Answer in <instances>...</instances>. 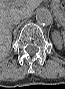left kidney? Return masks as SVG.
Wrapping results in <instances>:
<instances>
[{
  "instance_id": "1",
  "label": "left kidney",
  "mask_w": 65,
  "mask_h": 89,
  "mask_svg": "<svg viewBox=\"0 0 65 89\" xmlns=\"http://www.w3.org/2000/svg\"><path fill=\"white\" fill-rule=\"evenodd\" d=\"M53 41H54V44H55L58 48H61L62 43H61V40H60V37H59L58 34H54V35H53Z\"/></svg>"
}]
</instances>
